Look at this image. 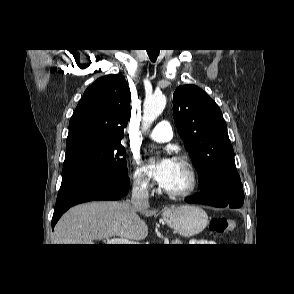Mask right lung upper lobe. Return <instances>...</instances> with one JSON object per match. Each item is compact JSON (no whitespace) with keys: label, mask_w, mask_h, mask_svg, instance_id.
<instances>
[{"label":"right lung upper lobe","mask_w":294,"mask_h":294,"mask_svg":"<svg viewBox=\"0 0 294 294\" xmlns=\"http://www.w3.org/2000/svg\"><path fill=\"white\" fill-rule=\"evenodd\" d=\"M130 96L124 77L111 74L97 79L71 117L66 144L81 140L121 142L130 115Z\"/></svg>","instance_id":"1"}]
</instances>
